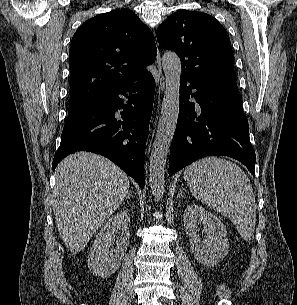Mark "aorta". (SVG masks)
<instances>
[{
    "label": "aorta",
    "instance_id": "obj_1",
    "mask_svg": "<svg viewBox=\"0 0 297 305\" xmlns=\"http://www.w3.org/2000/svg\"><path fill=\"white\" fill-rule=\"evenodd\" d=\"M162 67L166 87L149 162V185L157 200L165 192V166L179 114V90L182 73L181 61L174 52H166L163 55Z\"/></svg>",
    "mask_w": 297,
    "mask_h": 305
}]
</instances>
